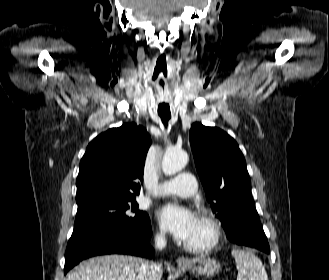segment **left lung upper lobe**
<instances>
[{
	"mask_svg": "<svg viewBox=\"0 0 329 280\" xmlns=\"http://www.w3.org/2000/svg\"><path fill=\"white\" fill-rule=\"evenodd\" d=\"M189 138L206 198L225 229L253 203L245 158L236 141L219 128L194 123Z\"/></svg>",
	"mask_w": 329,
	"mask_h": 280,
	"instance_id": "1",
	"label": "left lung upper lobe"
}]
</instances>
